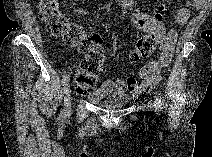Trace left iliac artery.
Wrapping results in <instances>:
<instances>
[{
  "label": "left iliac artery",
  "mask_w": 212,
  "mask_h": 157,
  "mask_svg": "<svg viewBox=\"0 0 212 157\" xmlns=\"http://www.w3.org/2000/svg\"><path fill=\"white\" fill-rule=\"evenodd\" d=\"M155 105L157 108H161L162 103H161V99L158 95H155Z\"/></svg>",
  "instance_id": "44dca946"
}]
</instances>
